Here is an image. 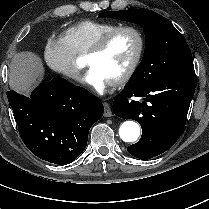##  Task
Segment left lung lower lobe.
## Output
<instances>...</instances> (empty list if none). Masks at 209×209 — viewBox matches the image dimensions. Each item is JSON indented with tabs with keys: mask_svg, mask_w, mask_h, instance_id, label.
<instances>
[{
	"mask_svg": "<svg viewBox=\"0 0 209 209\" xmlns=\"http://www.w3.org/2000/svg\"><path fill=\"white\" fill-rule=\"evenodd\" d=\"M194 91V69L146 84L128 82L113 102L115 115L142 127L140 140L128 152L147 160L171 148L183 132Z\"/></svg>",
	"mask_w": 209,
	"mask_h": 209,
	"instance_id": "left-lung-lower-lobe-1",
	"label": "left lung lower lobe"
}]
</instances>
